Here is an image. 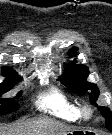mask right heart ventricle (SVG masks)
<instances>
[{
	"label": "right heart ventricle",
	"instance_id": "e07e8e85",
	"mask_svg": "<svg viewBox=\"0 0 112 135\" xmlns=\"http://www.w3.org/2000/svg\"><path fill=\"white\" fill-rule=\"evenodd\" d=\"M36 105L40 111L69 123L82 120L80 104L55 87L41 93Z\"/></svg>",
	"mask_w": 112,
	"mask_h": 135
}]
</instances>
